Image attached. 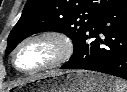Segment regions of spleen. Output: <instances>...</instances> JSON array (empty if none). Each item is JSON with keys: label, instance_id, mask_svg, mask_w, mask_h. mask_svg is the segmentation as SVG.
<instances>
[{"label": "spleen", "instance_id": "spleen-1", "mask_svg": "<svg viewBox=\"0 0 127 92\" xmlns=\"http://www.w3.org/2000/svg\"><path fill=\"white\" fill-rule=\"evenodd\" d=\"M114 92H127V82L116 79Z\"/></svg>", "mask_w": 127, "mask_h": 92}]
</instances>
